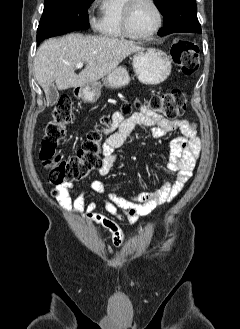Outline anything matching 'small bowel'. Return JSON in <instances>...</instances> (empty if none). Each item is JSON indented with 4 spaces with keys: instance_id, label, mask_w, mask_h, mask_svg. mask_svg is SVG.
<instances>
[{
    "instance_id": "small-bowel-1",
    "label": "small bowel",
    "mask_w": 240,
    "mask_h": 329,
    "mask_svg": "<svg viewBox=\"0 0 240 329\" xmlns=\"http://www.w3.org/2000/svg\"><path fill=\"white\" fill-rule=\"evenodd\" d=\"M144 126L153 138H161L169 133L180 131L181 137L172 140L170 144V158L167 168L176 173L173 179L161 175V185L150 192L141 193L133 197H123L112 192L108 185L95 180L90 189L96 193L105 194V209L108 215L97 212V203H86V193L81 191L76 198L69 195L75 188L73 184H61L56 187L57 197L67 209L81 213L84 218L103 226L111 235V242L115 248H122L125 237L119 221L128 222L136 226L138 218L148 216L161 204L171 202L183 189L191 178L193 169L200 153V144L196 137V129L187 119L169 120L145 106L129 116L118 111L114 113L111 124L104 129L105 139L102 144V160L97 169L100 176L107 175L119 159L117 149L137 127ZM110 255L114 254L108 246Z\"/></svg>"
}]
</instances>
